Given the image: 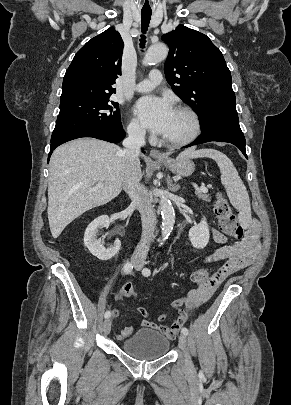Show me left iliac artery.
Segmentation results:
<instances>
[{
	"mask_svg": "<svg viewBox=\"0 0 291 405\" xmlns=\"http://www.w3.org/2000/svg\"><path fill=\"white\" fill-rule=\"evenodd\" d=\"M142 274H143L144 276L148 277V276H150V274H151V270H150L149 268H144V269L142 270ZM181 332H182L184 335H188V334H189V331H188V329H187L186 327H183L182 330H181Z\"/></svg>",
	"mask_w": 291,
	"mask_h": 405,
	"instance_id": "obj_1",
	"label": "left iliac artery"
}]
</instances>
